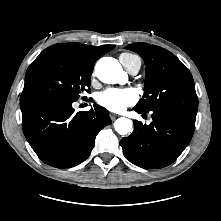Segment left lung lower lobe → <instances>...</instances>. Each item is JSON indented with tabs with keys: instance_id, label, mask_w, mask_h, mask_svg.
<instances>
[{
	"instance_id": "0a47b994",
	"label": "left lung lower lobe",
	"mask_w": 221,
	"mask_h": 221,
	"mask_svg": "<svg viewBox=\"0 0 221 221\" xmlns=\"http://www.w3.org/2000/svg\"><path fill=\"white\" fill-rule=\"evenodd\" d=\"M151 113L150 125L133 121L134 131L120 142L124 156L144 169L163 168L174 162L189 144L195 129V112L166 107L153 109Z\"/></svg>"
}]
</instances>
